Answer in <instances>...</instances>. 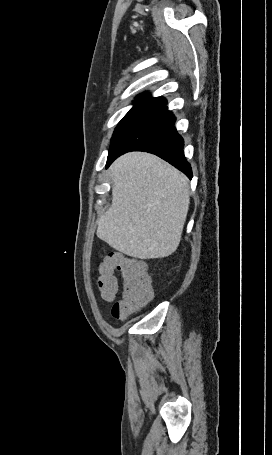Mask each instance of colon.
<instances>
[{
  "mask_svg": "<svg viewBox=\"0 0 272 455\" xmlns=\"http://www.w3.org/2000/svg\"><path fill=\"white\" fill-rule=\"evenodd\" d=\"M119 274V279L115 276ZM97 284L102 297L113 300L118 290L121 298L112 307V316L125 319L151 301L153 289L145 264L119 252L108 253L97 265Z\"/></svg>",
  "mask_w": 272,
  "mask_h": 455,
  "instance_id": "colon-1",
  "label": "colon"
}]
</instances>
